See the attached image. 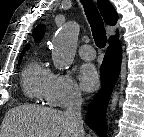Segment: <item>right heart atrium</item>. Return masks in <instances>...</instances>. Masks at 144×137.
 <instances>
[{"label": "right heart atrium", "instance_id": "right-heart-atrium-1", "mask_svg": "<svg viewBox=\"0 0 144 137\" xmlns=\"http://www.w3.org/2000/svg\"><path fill=\"white\" fill-rule=\"evenodd\" d=\"M80 99V91L70 74H52L45 97V101L48 105L65 108L77 103Z\"/></svg>", "mask_w": 144, "mask_h": 137}]
</instances>
